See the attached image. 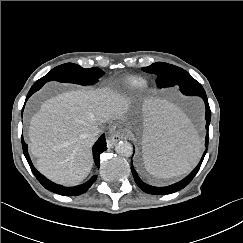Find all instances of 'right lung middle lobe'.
<instances>
[{"label":"right lung middle lobe","mask_w":243,"mask_h":243,"mask_svg":"<svg viewBox=\"0 0 243 243\" xmlns=\"http://www.w3.org/2000/svg\"><path fill=\"white\" fill-rule=\"evenodd\" d=\"M99 68L84 69L77 64L66 63L52 69L47 75L37 80L35 84L44 85L48 81H59L75 83L80 85H91L98 81L103 75Z\"/></svg>","instance_id":"1"}]
</instances>
